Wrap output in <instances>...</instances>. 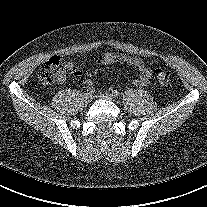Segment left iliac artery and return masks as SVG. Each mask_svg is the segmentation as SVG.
<instances>
[{"instance_id":"1","label":"left iliac artery","mask_w":207,"mask_h":207,"mask_svg":"<svg viewBox=\"0 0 207 207\" xmlns=\"http://www.w3.org/2000/svg\"><path fill=\"white\" fill-rule=\"evenodd\" d=\"M112 94L117 97L120 95V92L118 90H114L112 91Z\"/></svg>"}]
</instances>
